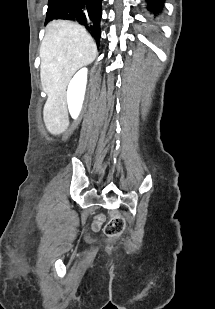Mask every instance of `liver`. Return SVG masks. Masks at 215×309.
Instances as JSON below:
<instances>
[{
  "mask_svg": "<svg viewBox=\"0 0 215 309\" xmlns=\"http://www.w3.org/2000/svg\"><path fill=\"white\" fill-rule=\"evenodd\" d=\"M40 76L48 98L44 122L50 132H63L69 124L66 86L74 72L93 62L97 46L84 26L71 20H51L40 46Z\"/></svg>",
  "mask_w": 215,
  "mask_h": 309,
  "instance_id": "obj_1",
  "label": "liver"
}]
</instances>
